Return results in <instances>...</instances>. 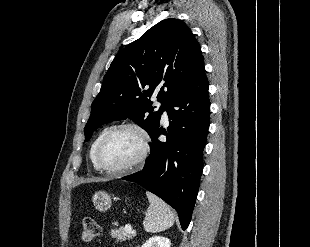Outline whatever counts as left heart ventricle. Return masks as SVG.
Instances as JSON below:
<instances>
[{
  "label": "left heart ventricle",
  "instance_id": "b2bd125f",
  "mask_svg": "<svg viewBox=\"0 0 310 247\" xmlns=\"http://www.w3.org/2000/svg\"><path fill=\"white\" fill-rule=\"evenodd\" d=\"M139 135L129 129L111 136L102 148L100 159L108 168L122 167L133 161L140 152Z\"/></svg>",
  "mask_w": 310,
  "mask_h": 247
}]
</instances>
